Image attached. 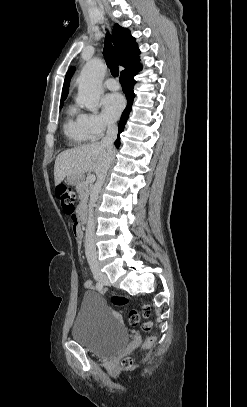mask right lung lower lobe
Instances as JSON below:
<instances>
[{
  "label": "right lung lower lobe",
  "instance_id": "1",
  "mask_svg": "<svg viewBox=\"0 0 247 407\" xmlns=\"http://www.w3.org/2000/svg\"><path fill=\"white\" fill-rule=\"evenodd\" d=\"M142 69L141 65L135 64L127 69H125L124 71L121 72L120 75V83L122 85L123 91L126 95V98L128 100L127 103V107L125 108V110L122 113L120 122H119V128H118V136H117V140L115 141V146L117 148H119L120 146V137L119 134L123 131L126 121L129 117V113L131 111L132 108V103H133V99L135 97V94L133 92V87L134 84L136 83V81L134 80V76Z\"/></svg>",
  "mask_w": 247,
  "mask_h": 407
}]
</instances>
